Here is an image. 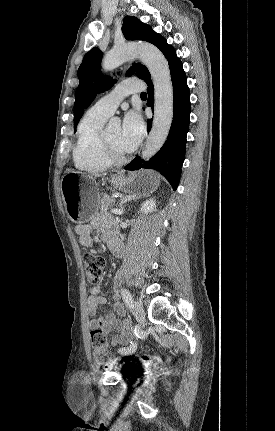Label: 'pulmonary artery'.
Returning a JSON list of instances; mask_svg holds the SVG:
<instances>
[{"label": "pulmonary artery", "mask_w": 275, "mask_h": 431, "mask_svg": "<svg viewBox=\"0 0 275 431\" xmlns=\"http://www.w3.org/2000/svg\"><path fill=\"white\" fill-rule=\"evenodd\" d=\"M143 89L144 85L139 80H124L117 84L108 94L101 97L92 108L110 116L126 96L132 93L142 92Z\"/></svg>", "instance_id": "pulmonary-artery-1"}]
</instances>
